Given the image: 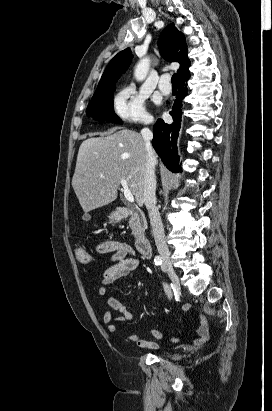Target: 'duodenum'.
<instances>
[{"label": "duodenum", "instance_id": "duodenum-1", "mask_svg": "<svg viewBox=\"0 0 272 411\" xmlns=\"http://www.w3.org/2000/svg\"><path fill=\"white\" fill-rule=\"evenodd\" d=\"M130 212L131 209L129 207H118L115 209V214L118 219L127 218L130 215ZM135 247L145 258H150L151 248L145 235L140 234L136 236Z\"/></svg>", "mask_w": 272, "mask_h": 411}]
</instances>
